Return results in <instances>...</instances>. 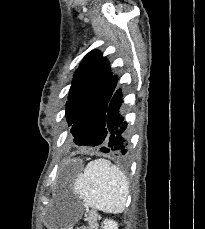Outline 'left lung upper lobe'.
Here are the masks:
<instances>
[{"label": "left lung upper lobe", "mask_w": 205, "mask_h": 229, "mask_svg": "<svg viewBox=\"0 0 205 229\" xmlns=\"http://www.w3.org/2000/svg\"><path fill=\"white\" fill-rule=\"evenodd\" d=\"M117 77L112 76L105 57L91 51L76 70L66 103V118L77 145L102 146L92 134L105 125L106 111L115 91Z\"/></svg>", "instance_id": "left-lung-upper-lobe-1"}]
</instances>
